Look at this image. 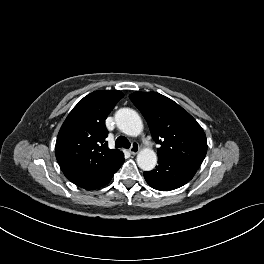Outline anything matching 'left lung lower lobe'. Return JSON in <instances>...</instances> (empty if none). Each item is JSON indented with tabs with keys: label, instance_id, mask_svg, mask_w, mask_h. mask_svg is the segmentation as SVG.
Masks as SVG:
<instances>
[{
	"label": "left lung lower lobe",
	"instance_id": "obj_1",
	"mask_svg": "<svg viewBox=\"0 0 264 264\" xmlns=\"http://www.w3.org/2000/svg\"><path fill=\"white\" fill-rule=\"evenodd\" d=\"M197 169L184 162L158 158V165L152 171L144 172V178L154 189L170 191L189 182Z\"/></svg>",
	"mask_w": 264,
	"mask_h": 264
}]
</instances>
